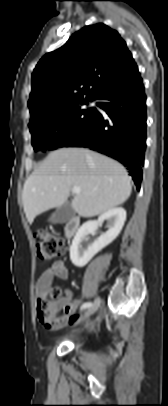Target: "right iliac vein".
Returning <instances> with one entry per match:
<instances>
[{"instance_id": "1", "label": "right iliac vein", "mask_w": 168, "mask_h": 406, "mask_svg": "<svg viewBox=\"0 0 168 406\" xmlns=\"http://www.w3.org/2000/svg\"><path fill=\"white\" fill-rule=\"evenodd\" d=\"M100 303H101V299H100L99 297H97V298L94 300L92 306H90V307L86 310V312L84 313V317H89L90 315H92L93 313H95V312L98 310V308H99V306H100Z\"/></svg>"}]
</instances>
